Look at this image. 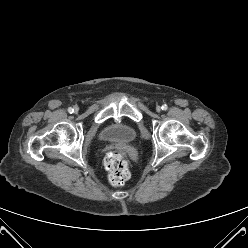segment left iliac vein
<instances>
[{
  "instance_id": "obj_1",
  "label": "left iliac vein",
  "mask_w": 248,
  "mask_h": 248,
  "mask_svg": "<svg viewBox=\"0 0 248 248\" xmlns=\"http://www.w3.org/2000/svg\"><path fill=\"white\" fill-rule=\"evenodd\" d=\"M156 111H157V112H160V111H161V107H160V106H157V107H156Z\"/></svg>"
}]
</instances>
